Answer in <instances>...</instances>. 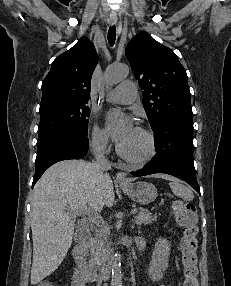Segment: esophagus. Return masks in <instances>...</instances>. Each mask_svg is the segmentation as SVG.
I'll return each mask as SVG.
<instances>
[{
	"label": "esophagus",
	"instance_id": "1",
	"mask_svg": "<svg viewBox=\"0 0 231 286\" xmlns=\"http://www.w3.org/2000/svg\"><path fill=\"white\" fill-rule=\"evenodd\" d=\"M117 22V16L116 15H110L109 18V23L111 25L116 24ZM116 180L119 183V185H128L129 184V180L127 178V174L125 172H118L116 175Z\"/></svg>",
	"mask_w": 231,
	"mask_h": 286
}]
</instances>
